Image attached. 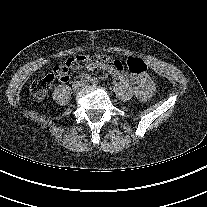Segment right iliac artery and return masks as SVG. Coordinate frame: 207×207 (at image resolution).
Wrapping results in <instances>:
<instances>
[{"mask_svg": "<svg viewBox=\"0 0 207 207\" xmlns=\"http://www.w3.org/2000/svg\"><path fill=\"white\" fill-rule=\"evenodd\" d=\"M90 75L89 74H84L83 76H82V79H81V82H83V83H87L89 80H90Z\"/></svg>", "mask_w": 207, "mask_h": 207, "instance_id": "right-iliac-artery-1", "label": "right iliac artery"}]
</instances>
